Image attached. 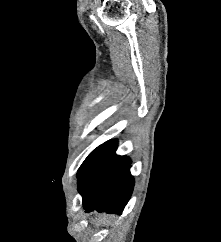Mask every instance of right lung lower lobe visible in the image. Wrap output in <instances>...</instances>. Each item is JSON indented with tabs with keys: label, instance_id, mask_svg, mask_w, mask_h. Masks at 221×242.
I'll use <instances>...</instances> for the list:
<instances>
[{
	"label": "right lung lower lobe",
	"instance_id": "right-lung-lower-lobe-1",
	"mask_svg": "<svg viewBox=\"0 0 221 242\" xmlns=\"http://www.w3.org/2000/svg\"><path fill=\"white\" fill-rule=\"evenodd\" d=\"M116 140L97 147L78 171V189L86 212L121 214L134 186L130 174V160L115 154Z\"/></svg>",
	"mask_w": 221,
	"mask_h": 242
}]
</instances>
